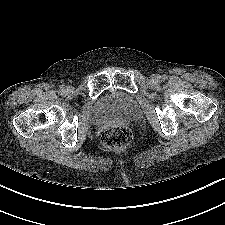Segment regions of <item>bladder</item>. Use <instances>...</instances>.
Masks as SVG:
<instances>
[{"mask_svg":"<svg viewBox=\"0 0 225 225\" xmlns=\"http://www.w3.org/2000/svg\"><path fill=\"white\" fill-rule=\"evenodd\" d=\"M140 114V106L131 95L115 91L97 103L91 113V121L102 124L116 119L136 120Z\"/></svg>","mask_w":225,"mask_h":225,"instance_id":"31cf9c89","label":"bladder"}]
</instances>
